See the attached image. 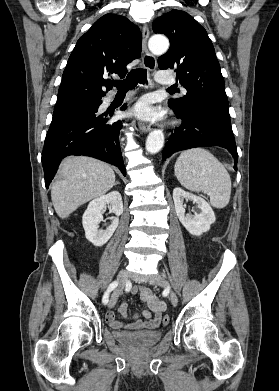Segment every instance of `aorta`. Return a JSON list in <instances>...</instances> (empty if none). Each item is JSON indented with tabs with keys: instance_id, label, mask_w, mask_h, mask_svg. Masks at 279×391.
<instances>
[{
	"instance_id": "obj_1",
	"label": "aorta",
	"mask_w": 279,
	"mask_h": 391,
	"mask_svg": "<svg viewBox=\"0 0 279 391\" xmlns=\"http://www.w3.org/2000/svg\"><path fill=\"white\" fill-rule=\"evenodd\" d=\"M150 51L155 55L164 54L169 48V41L166 37L156 35L150 38L148 42ZM164 145V134L161 130H153L149 133L146 140V150L151 154L158 153Z\"/></svg>"
}]
</instances>
